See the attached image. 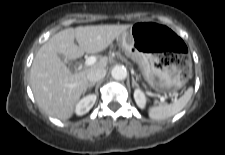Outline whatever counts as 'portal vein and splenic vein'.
<instances>
[{
	"label": "portal vein and splenic vein",
	"mask_w": 225,
	"mask_h": 155,
	"mask_svg": "<svg viewBox=\"0 0 225 155\" xmlns=\"http://www.w3.org/2000/svg\"><path fill=\"white\" fill-rule=\"evenodd\" d=\"M96 57L95 56H90V57H88L87 59H86V61H85V65L86 66H91V65H93V64H95L96 63ZM158 97H159V99H160V101L161 102H165V98L163 97V96H160V95H158Z\"/></svg>",
	"instance_id": "1"
}]
</instances>
